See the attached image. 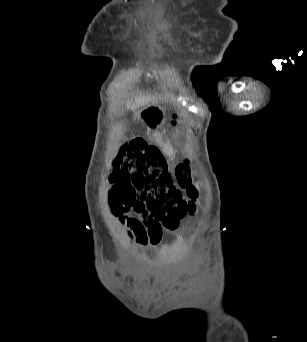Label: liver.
<instances>
[{
  "mask_svg": "<svg viewBox=\"0 0 307 342\" xmlns=\"http://www.w3.org/2000/svg\"><path fill=\"white\" fill-rule=\"evenodd\" d=\"M155 98H152V96H139V98H135L134 104L132 106H127L128 110H136V108H139V106H146L148 102H153Z\"/></svg>",
  "mask_w": 307,
  "mask_h": 342,
  "instance_id": "obj_1",
  "label": "liver"
}]
</instances>
